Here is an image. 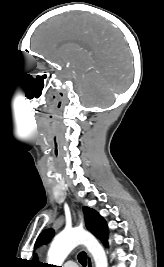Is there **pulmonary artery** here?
Here are the masks:
<instances>
[{"instance_id":"pulmonary-artery-1","label":"pulmonary artery","mask_w":164,"mask_h":267,"mask_svg":"<svg viewBox=\"0 0 164 267\" xmlns=\"http://www.w3.org/2000/svg\"><path fill=\"white\" fill-rule=\"evenodd\" d=\"M63 267H78L77 264L73 261H67Z\"/></svg>"}]
</instances>
